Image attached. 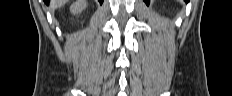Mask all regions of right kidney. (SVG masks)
I'll use <instances>...</instances> for the list:
<instances>
[{"instance_id": "ca27d5eb", "label": "right kidney", "mask_w": 232, "mask_h": 96, "mask_svg": "<svg viewBox=\"0 0 232 96\" xmlns=\"http://www.w3.org/2000/svg\"><path fill=\"white\" fill-rule=\"evenodd\" d=\"M85 8H86V1L85 0H76V2L73 3V5H71L70 11L73 14H78Z\"/></svg>"}]
</instances>
